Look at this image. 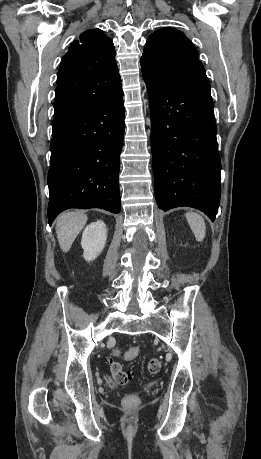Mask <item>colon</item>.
Segmentation results:
<instances>
[{"mask_svg": "<svg viewBox=\"0 0 261 459\" xmlns=\"http://www.w3.org/2000/svg\"><path fill=\"white\" fill-rule=\"evenodd\" d=\"M138 354V347L128 348L124 352L114 350L115 356H122L125 360H134L138 356ZM108 365L114 380L119 385H127L132 381V374L128 371H125L119 362L110 358L108 360ZM147 369L150 374H157L161 370V362L158 359L153 358L148 362ZM137 402L138 398L133 394L127 395L124 398V404L127 406H134L135 404H137Z\"/></svg>", "mask_w": 261, "mask_h": 459, "instance_id": "1", "label": "colon"}]
</instances>
